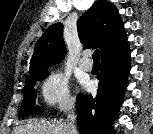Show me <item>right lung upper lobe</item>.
<instances>
[{
    "label": "right lung upper lobe",
    "mask_w": 153,
    "mask_h": 134,
    "mask_svg": "<svg viewBox=\"0 0 153 134\" xmlns=\"http://www.w3.org/2000/svg\"><path fill=\"white\" fill-rule=\"evenodd\" d=\"M80 41L84 48L99 47L107 53L127 41L123 22L116 7L107 0H98L85 12L77 23ZM63 25L55 23L48 27L35 45L30 61V74L44 71L60 62L66 54Z\"/></svg>",
    "instance_id": "1"
}]
</instances>
